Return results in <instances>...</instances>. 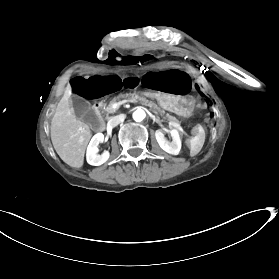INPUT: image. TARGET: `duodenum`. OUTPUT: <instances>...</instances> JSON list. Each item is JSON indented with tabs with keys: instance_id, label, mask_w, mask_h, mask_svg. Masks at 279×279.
Here are the masks:
<instances>
[{
	"instance_id": "duodenum-1",
	"label": "duodenum",
	"mask_w": 279,
	"mask_h": 279,
	"mask_svg": "<svg viewBox=\"0 0 279 279\" xmlns=\"http://www.w3.org/2000/svg\"><path fill=\"white\" fill-rule=\"evenodd\" d=\"M142 96L144 98H148V99H151V98L152 99H157L159 97V94L157 92L144 91L142 93ZM92 109L94 110V112L96 113V115H97V117L99 118V121H100V125L96 128V132L98 134H101L107 126L106 117L104 116V113L102 111L103 102L101 100H94L92 102Z\"/></svg>"
}]
</instances>
